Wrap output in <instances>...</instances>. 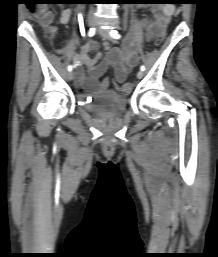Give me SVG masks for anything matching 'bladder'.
Here are the masks:
<instances>
[{
	"mask_svg": "<svg viewBox=\"0 0 218 257\" xmlns=\"http://www.w3.org/2000/svg\"><path fill=\"white\" fill-rule=\"evenodd\" d=\"M98 99L100 105L97 108L104 112L116 113L125 109L126 98L124 97H101Z\"/></svg>",
	"mask_w": 218,
	"mask_h": 257,
	"instance_id": "bladder-1",
	"label": "bladder"
}]
</instances>
